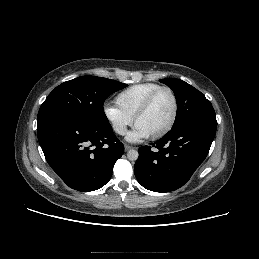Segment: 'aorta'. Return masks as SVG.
I'll return each mask as SVG.
<instances>
[{
    "mask_svg": "<svg viewBox=\"0 0 259 259\" xmlns=\"http://www.w3.org/2000/svg\"><path fill=\"white\" fill-rule=\"evenodd\" d=\"M127 158H128L129 160H131V161L137 160V159H138V152H137L136 150H134V149L129 150V151L127 152Z\"/></svg>",
    "mask_w": 259,
    "mask_h": 259,
    "instance_id": "obj_1",
    "label": "aorta"
}]
</instances>
